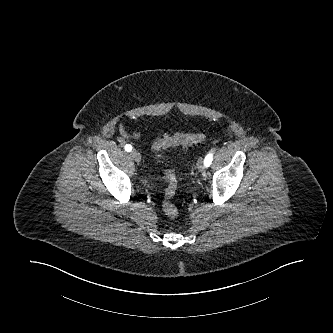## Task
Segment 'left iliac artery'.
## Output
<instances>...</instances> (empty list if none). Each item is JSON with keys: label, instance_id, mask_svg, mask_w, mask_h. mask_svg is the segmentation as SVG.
<instances>
[{"label": "left iliac artery", "instance_id": "1", "mask_svg": "<svg viewBox=\"0 0 333 333\" xmlns=\"http://www.w3.org/2000/svg\"><path fill=\"white\" fill-rule=\"evenodd\" d=\"M212 160H213V153H212V152H209V153L206 155L205 159H204V164H205V166H206V167H209L210 164H211V162H212Z\"/></svg>", "mask_w": 333, "mask_h": 333}]
</instances>
